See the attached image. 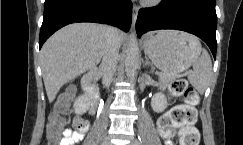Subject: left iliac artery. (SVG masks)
<instances>
[{
  "mask_svg": "<svg viewBox=\"0 0 243 145\" xmlns=\"http://www.w3.org/2000/svg\"><path fill=\"white\" fill-rule=\"evenodd\" d=\"M135 141H136L137 145H142L140 139L139 140L136 139Z\"/></svg>",
  "mask_w": 243,
  "mask_h": 145,
  "instance_id": "obj_1",
  "label": "left iliac artery"
}]
</instances>
